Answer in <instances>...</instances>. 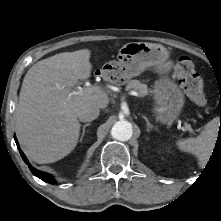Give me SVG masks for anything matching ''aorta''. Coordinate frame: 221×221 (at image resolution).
I'll list each match as a JSON object with an SVG mask.
<instances>
[{
	"mask_svg": "<svg viewBox=\"0 0 221 221\" xmlns=\"http://www.w3.org/2000/svg\"><path fill=\"white\" fill-rule=\"evenodd\" d=\"M111 135L119 141H128L133 135V127L129 121L120 120L111 129Z\"/></svg>",
	"mask_w": 221,
	"mask_h": 221,
	"instance_id": "1",
	"label": "aorta"
}]
</instances>
